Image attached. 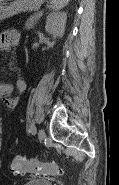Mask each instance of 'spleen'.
Wrapping results in <instances>:
<instances>
[{
  "instance_id": "1",
  "label": "spleen",
  "mask_w": 119,
  "mask_h": 185,
  "mask_svg": "<svg viewBox=\"0 0 119 185\" xmlns=\"http://www.w3.org/2000/svg\"><path fill=\"white\" fill-rule=\"evenodd\" d=\"M70 0H50V8L58 11L65 7Z\"/></svg>"
}]
</instances>
